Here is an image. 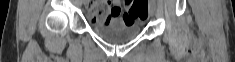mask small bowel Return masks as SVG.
Instances as JSON below:
<instances>
[{
  "label": "small bowel",
  "mask_w": 235,
  "mask_h": 62,
  "mask_svg": "<svg viewBox=\"0 0 235 62\" xmlns=\"http://www.w3.org/2000/svg\"><path fill=\"white\" fill-rule=\"evenodd\" d=\"M129 5V3H126ZM88 17L92 22H102L104 24L124 22L126 14L121 16V1L113 0L109 8H104L99 2H94L88 10Z\"/></svg>",
  "instance_id": "small-bowel-1"
}]
</instances>
